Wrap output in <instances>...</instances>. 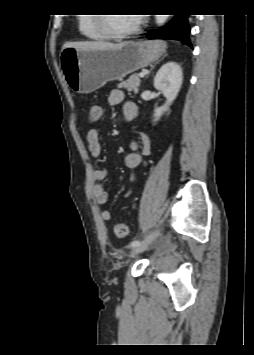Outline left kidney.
I'll return each instance as SVG.
<instances>
[{
	"label": "left kidney",
	"instance_id": "5707ae66",
	"mask_svg": "<svg viewBox=\"0 0 254 355\" xmlns=\"http://www.w3.org/2000/svg\"><path fill=\"white\" fill-rule=\"evenodd\" d=\"M183 82V73L180 65L176 62L165 63L157 72L154 78V87L161 91L166 98V102L154 111V121L169 109V106L176 99Z\"/></svg>",
	"mask_w": 254,
	"mask_h": 355
}]
</instances>
